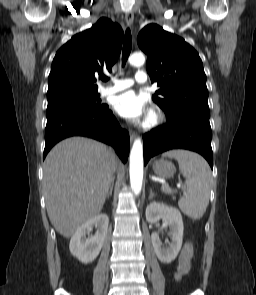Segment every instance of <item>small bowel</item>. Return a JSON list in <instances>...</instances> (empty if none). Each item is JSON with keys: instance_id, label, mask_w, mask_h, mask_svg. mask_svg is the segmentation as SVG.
Returning a JSON list of instances; mask_svg holds the SVG:
<instances>
[{"instance_id": "c3829d8e", "label": "small bowel", "mask_w": 256, "mask_h": 295, "mask_svg": "<svg viewBox=\"0 0 256 295\" xmlns=\"http://www.w3.org/2000/svg\"><path fill=\"white\" fill-rule=\"evenodd\" d=\"M192 256H193V245L192 243L189 242L184 246L179 256V264H178L177 271L175 273L176 278L181 277L188 271Z\"/></svg>"}]
</instances>
